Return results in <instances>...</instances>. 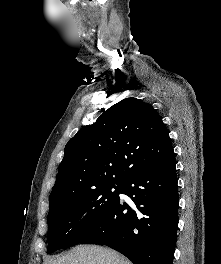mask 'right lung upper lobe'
Listing matches in <instances>:
<instances>
[{
    "label": "right lung upper lobe",
    "instance_id": "obj_1",
    "mask_svg": "<svg viewBox=\"0 0 221 264\" xmlns=\"http://www.w3.org/2000/svg\"><path fill=\"white\" fill-rule=\"evenodd\" d=\"M173 154L168 130L156 110L142 100L126 98L67 143L49 197L50 210L72 194L122 183Z\"/></svg>",
    "mask_w": 221,
    "mask_h": 264
}]
</instances>
